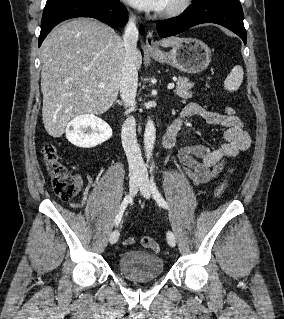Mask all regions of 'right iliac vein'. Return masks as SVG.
<instances>
[{"label": "right iliac vein", "mask_w": 284, "mask_h": 319, "mask_svg": "<svg viewBox=\"0 0 284 319\" xmlns=\"http://www.w3.org/2000/svg\"><path fill=\"white\" fill-rule=\"evenodd\" d=\"M139 180H140V176H139L138 172L134 171L130 174L129 190H130L131 194H133V195L138 190ZM118 239H119V231L116 229L110 234L109 241L111 244H114L117 242Z\"/></svg>", "instance_id": "63e3f726"}]
</instances>
